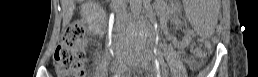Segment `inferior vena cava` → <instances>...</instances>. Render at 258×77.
Here are the masks:
<instances>
[{
  "mask_svg": "<svg viewBox=\"0 0 258 77\" xmlns=\"http://www.w3.org/2000/svg\"><path fill=\"white\" fill-rule=\"evenodd\" d=\"M115 12L118 21L122 22L127 18V12L124 5V0H116Z\"/></svg>",
  "mask_w": 258,
  "mask_h": 77,
  "instance_id": "obj_1",
  "label": "inferior vena cava"
}]
</instances>
